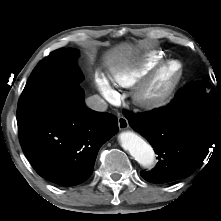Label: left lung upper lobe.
<instances>
[{"mask_svg":"<svg viewBox=\"0 0 221 221\" xmlns=\"http://www.w3.org/2000/svg\"><path fill=\"white\" fill-rule=\"evenodd\" d=\"M205 87L206 83L203 81H196L191 86H185L168 105V110L175 112L212 111L220 113L221 93H216L215 89L208 92Z\"/></svg>","mask_w":221,"mask_h":221,"instance_id":"left-lung-upper-lobe-1","label":"left lung upper lobe"}]
</instances>
